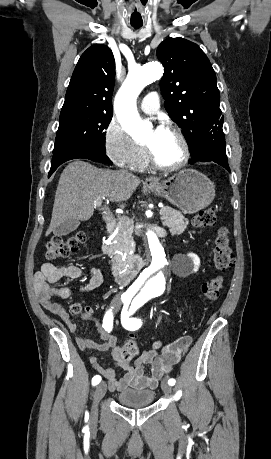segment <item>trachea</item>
Returning <instances> with one entry per match:
<instances>
[{
	"label": "trachea",
	"instance_id": "1",
	"mask_svg": "<svg viewBox=\"0 0 271 459\" xmlns=\"http://www.w3.org/2000/svg\"><path fill=\"white\" fill-rule=\"evenodd\" d=\"M132 27H134V29H139L142 25H132Z\"/></svg>",
	"mask_w": 271,
	"mask_h": 459
}]
</instances>
